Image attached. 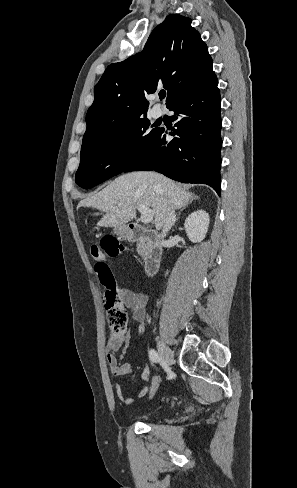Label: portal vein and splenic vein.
<instances>
[{
	"label": "portal vein and splenic vein",
	"mask_w": 297,
	"mask_h": 488,
	"mask_svg": "<svg viewBox=\"0 0 297 488\" xmlns=\"http://www.w3.org/2000/svg\"><path fill=\"white\" fill-rule=\"evenodd\" d=\"M137 209L141 213V221L144 224H148L153 220L154 212L151 208H148L142 204H138Z\"/></svg>",
	"instance_id": "1"
}]
</instances>
